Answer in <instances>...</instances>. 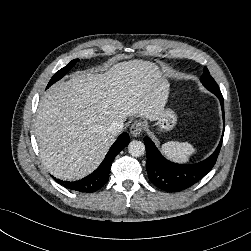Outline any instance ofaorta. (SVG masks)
I'll use <instances>...</instances> for the list:
<instances>
[{
    "mask_svg": "<svg viewBox=\"0 0 251 251\" xmlns=\"http://www.w3.org/2000/svg\"><path fill=\"white\" fill-rule=\"evenodd\" d=\"M128 152L133 157H140L145 153V145L138 140L131 141L128 145Z\"/></svg>",
    "mask_w": 251,
    "mask_h": 251,
    "instance_id": "obj_1",
    "label": "aorta"
}]
</instances>
